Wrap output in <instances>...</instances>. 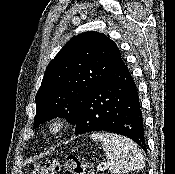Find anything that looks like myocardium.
Returning <instances> with one entry per match:
<instances>
[{
    "mask_svg": "<svg viewBox=\"0 0 175 174\" xmlns=\"http://www.w3.org/2000/svg\"><path fill=\"white\" fill-rule=\"evenodd\" d=\"M66 127V121L61 117H53L47 121L46 130L50 135L61 133Z\"/></svg>",
    "mask_w": 175,
    "mask_h": 174,
    "instance_id": "f54148a6",
    "label": "myocardium"
}]
</instances>
